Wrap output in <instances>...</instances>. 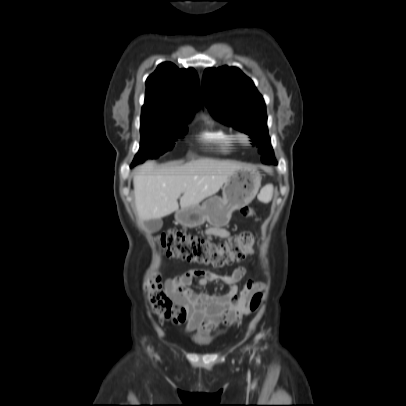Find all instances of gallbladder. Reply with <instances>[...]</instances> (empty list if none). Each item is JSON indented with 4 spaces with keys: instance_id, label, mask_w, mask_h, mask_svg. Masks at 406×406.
<instances>
[{
    "instance_id": "1",
    "label": "gallbladder",
    "mask_w": 406,
    "mask_h": 406,
    "mask_svg": "<svg viewBox=\"0 0 406 406\" xmlns=\"http://www.w3.org/2000/svg\"><path fill=\"white\" fill-rule=\"evenodd\" d=\"M144 225L150 232H157L162 228L163 222L161 219H152L145 221Z\"/></svg>"
}]
</instances>
